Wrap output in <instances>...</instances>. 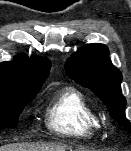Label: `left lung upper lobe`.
<instances>
[{
    "label": "left lung upper lobe",
    "mask_w": 131,
    "mask_h": 151,
    "mask_svg": "<svg viewBox=\"0 0 131 151\" xmlns=\"http://www.w3.org/2000/svg\"><path fill=\"white\" fill-rule=\"evenodd\" d=\"M108 55L105 45L87 44L67 60L65 69L72 79L90 88L107 105L114 120L131 130L124 111L126 99L121 91L122 74Z\"/></svg>",
    "instance_id": "left-lung-upper-lobe-1"
}]
</instances>
